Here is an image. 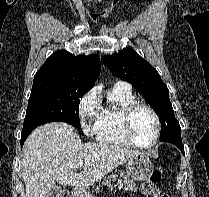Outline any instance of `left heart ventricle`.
<instances>
[{"instance_id":"b2bd125f","label":"left heart ventricle","mask_w":209,"mask_h":197,"mask_svg":"<svg viewBox=\"0 0 209 197\" xmlns=\"http://www.w3.org/2000/svg\"><path fill=\"white\" fill-rule=\"evenodd\" d=\"M155 133V121L152 114L145 108L135 111L132 118L133 138L139 144L152 142Z\"/></svg>"}]
</instances>
